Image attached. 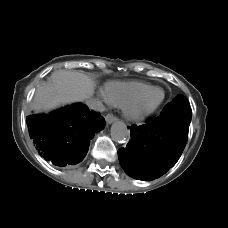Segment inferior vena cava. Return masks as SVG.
<instances>
[{
  "mask_svg": "<svg viewBox=\"0 0 228 228\" xmlns=\"http://www.w3.org/2000/svg\"><path fill=\"white\" fill-rule=\"evenodd\" d=\"M86 105L89 107V109L94 111L103 112L104 111V105L103 103L98 99H89L86 101Z\"/></svg>",
  "mask_w": 228,
  "mask_h": 228,
  "instance_id": "1",
  "label": "inferior vena cava"
}]
</instances>
